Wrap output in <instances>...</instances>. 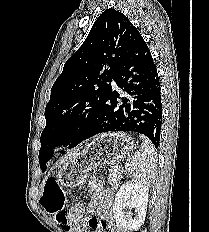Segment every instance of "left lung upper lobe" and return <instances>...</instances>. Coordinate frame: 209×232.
Returning a JSON list of instances; mask_svg holds the SVG:
<instances>
[{
    "instance_id": "obj_1",
    "label": "left lung upper lobe",
    "mask_w": 209,
    "mask_h": 232,
    "mask_svg": "<svg viewBox=\"0 0 209 232\" xmlns=\"http://www.w3.org/2000/svg\"><path fill=\"white\" fill-rule=\"evenodd\" d=\"M141 34L115 9H106L93 24L81 47L66 61L45 108L39 163H46L57 146H77L98 118L112 93L111 82Z\"/></svg>"
}]
</instances>
